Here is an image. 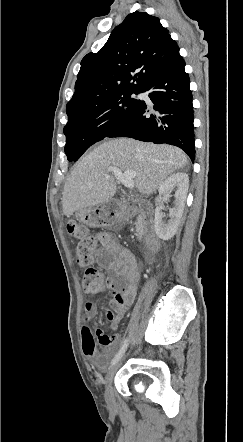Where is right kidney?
<instances>
[{
    "mask_svg": "<svg viewBox=\"0 0 243 442\" xmlns=\"http://www.w3.org/2000/svg\"><path fill=\"white\" fill-rule=\"evenodd\" d=\"M188 187L189 177L183 172L174 173L159 186L154 222L155 232L160 239L169 240L175 235L185 207ZM173 189H176L174 207L169 210L170 220L166 223L163 221L165 214L160 204L171 197L170 193Z\"/></svg>",
    "mask_w": 243,
    "mask_h": 442,
    "instance_id": "obj_1",
    "label": "right kidney"
}]
</instances>
